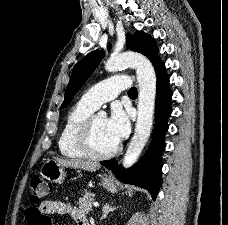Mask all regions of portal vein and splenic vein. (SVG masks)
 I'll use <instances>...</instances> for the list:
<instances>
[{
    "instance_id": "obj_1",
    "label": "portal vein and splenic vein",
    "mask_w": 228,
    "mask_h": 225,
    "mask_svg": "<svg viewBox=\"0 0 228 225\" xmlns=\"http://www.w3.org/2000/svg\"><path fill=\"white\" fill-rule=\"evenodd\" d=\"M94 207H98V203H93Z\"/></svg>"
}]
</instances>
